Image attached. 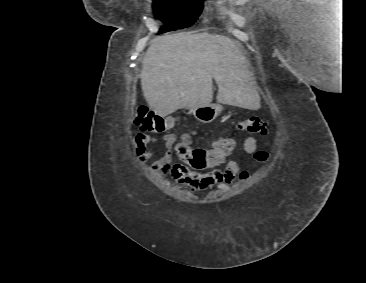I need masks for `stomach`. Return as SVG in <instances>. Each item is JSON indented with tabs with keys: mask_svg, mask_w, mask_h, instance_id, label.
<instances>
[{
	"mask_svg": "<svg viewBox=\"0 0 366 283\" xmlns=\"http://www.w3.org/2000/svg\"><path fill=\"white\" fill-rule=\"evenodd\" d=\"M222 110L223 105L216 103L192 108L187 107L185 113H192L198 121L206 124L215 120Z\"/></svg>",
	"mask_w": 366,
	"mask_h": 283,
	"instance_id": "1",
	"label": "stomach"
}]
</instances>
